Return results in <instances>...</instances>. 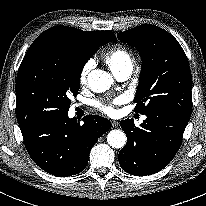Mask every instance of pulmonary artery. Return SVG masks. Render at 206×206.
I'll return each instance as SVG.
<instances>
[{"instance_id": "obj_1", "label": "pulmonary artery", "mask_w": 206, "mask_h": 206, "mask_svg": "<svg viewBox=\"0 0 206 206\" xmlns=\"http://www.w3.org/2000/svg\"><path fill=\"white\" fill-rule=\"evenodd\" d=\"M132 70H133V67H125L113 74L118 80L124 81V80H127L131 76ZM143 119H145V117H143Z\"/></svg>"}]
</instances>
